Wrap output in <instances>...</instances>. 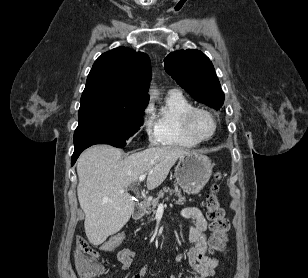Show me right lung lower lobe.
<instances>
[{
	"mask_svg": "<svg viewBox=\"0 0 308 278\" xmlns=\"http://www.w3.org/2000/svg\"><path fill=\"white\" fill-rule=\"evenodd\" d=\"M89 146H91V145H84V146L75 147L74 153L72 155L71 165H73L76 162V160L79 157V155L81 154V152L83 150H85L86 148H88Z\"/></svg>",
	"mask_w": 308,
	"mask_h": 278,
	"instance_id": "1",
	"label": "right lung lower lobe"
}]
</instances>
